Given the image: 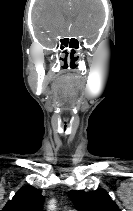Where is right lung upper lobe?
Listing matches in <instances>:
<instances>
[{
	"mask_svg": "<svg viewBox=\"0 0 133 211\" xmlns=\"http://www.w3.org/2000/svg\"><path fill=\"white\" fill-rule=\"evenodd\" d=\"M43 201L40 190L24 186L6 203L2 211H42Z\"/></svg>",
	"mask_w": 133,
	"mask_h": 211,
	"instance_id": "1",
	"label": "right lung upper lobe"
}]
</instances>
